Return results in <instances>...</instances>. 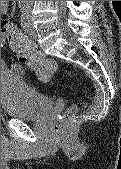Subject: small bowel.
<instances>
[{
    "label": "small bowel",
    "instance_id": "1",
    "mask_svg": "<svg viewBox=\"0 0 121 169\" xmlns=\"http://www.w3.org/2000/svg\"><path fill=\"white\" fill-rule=\"evenodd\" d=\"M9 1H2V10L5 12L8 8ZM10 28H16L12 23H9L7 21L2 23V31H3V37L1 40V44L3 45L5 43V32L9 30ZM17 29V28H16ZM18 30V29H17ZM34 46V44H33ZM2 68H7V64L5 62H2ZM11 68L16 71H21L22 67L17 63H12Z\"/></svg>",
    "mask_w": 121,
    "mask_h": 169
}]
</instances>
